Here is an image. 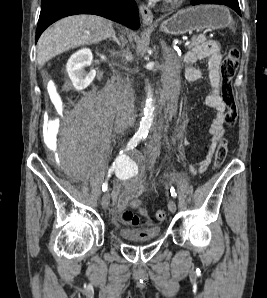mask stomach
I'll return each instance as SVG.
<instances>
[{
  "label": "stomach",
  "mask_w": 267,
  "mask_h": 298,
  "mask_svg": "<svg viewBox=\"0 0 267 298\" xmlns=\"http://www.w3.org/2000/svg\"><path fill=\"white\" fill-rule=\"evenodd\" d=\"M232 24L229 10L221 5H199L178 11L160 25V31L183 35L195 30L224 29Z\"/></svg>",
  "instance_id": "stomach-1"
}]
</instances>
